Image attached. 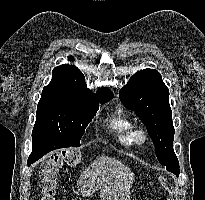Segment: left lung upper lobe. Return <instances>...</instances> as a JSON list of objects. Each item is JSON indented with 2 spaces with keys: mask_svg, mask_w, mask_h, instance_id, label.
I'll return each instance as SVG.
<instances>
[{
  "mask_svg": "<svg viewBox=\"0 0 205 200\" xmlns=\"http://www.w3.org/2000/svg\"><path fill=\"white\" fill-rule=\"evenodd\" d=\"M127 109L142 119L155 146L157 159L162 165L177 163L173 150L174 127L169 104V89L158 71L144 69L135 73L119 91Z\"/></svg>",
  "mask_w": 205,
  "mask_h": 200,
  "instance_id": "5c2ea615",
  "label": "left lung upper lobe"
}]
</instances>
